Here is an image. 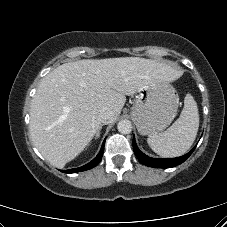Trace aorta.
Listing matches in <instances>:
<instances>
[{"instance_id":"762f6f07","label":"aorta","mask_w":227,"mask_h":227,"mask_svg":"<svg viewBox=\"0 0 227 227\" xmlns=\"http://www.w3.org/2000/svg\"><path fill=\"white\" fill-rule=\"evenodd\" d=\"M117 129L121 134H129L132 131V124L129 120H121L117 124Z\"/></svg>"}]
</instances>
